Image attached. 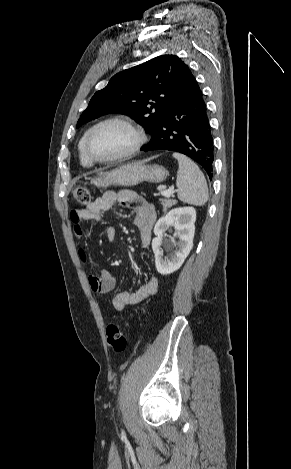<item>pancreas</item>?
<instances>
[{
  "label": "pancreas",
  "mask_w": 291,
  "mask_h": 469,
  "mask_svg": "<svg viewBox=\"0 0 291 469\" xmlns=\"http://www.w3.org/2000/svg\"><path fill=\"white\" fill-rule=\"evenodd\" d=\"M177 203L176 200H172V199H163L162 200V205H163V211H166L168 208L172 207L173 205H175Z\"/></svg>",
  "instance_id": "pancreas-1"
}]
</instances>
